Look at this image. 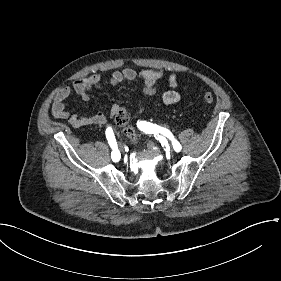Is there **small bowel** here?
Listing matches in <instances>:
<instances>
[{
  "label": "small bowel",
  "instance_id": "c3829d8e",
  "mask_svg": "<svg viewBox=\"0 0 281 281\" xmlns=\"http://www.w3.org/2000/svg\"><path fill=\"white\" fill-rule=\"evenodd\" d=\"M164 76L162 70L142 69L135 70L126 67L123 70H115L108 79L111 85L120 84L123 81L140 80L143 83V92L152 96L155 94L156 82ZM105 84L104 79L100 74H94L87 78H81L74 82L72 87H65L61 89L56 95L52 106V114L54 117L66 121L74 128L104 125L107 122L105 114L98 112L89 115H77L71 113L65 101L72 95L79 96L82 100L88 101L90 99V92L92 89L101 88ZM168 84L170 89L166 91L162 100L166 105H171L179 101L180 95L177 91V76L174 73L168 75ZM119 113H128L124 107L114 104L110 109V118L115 119Z\"/></svg>",
  "mask_w": 281,
  "mask_h": 281
}]
</instances>
